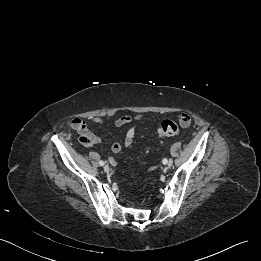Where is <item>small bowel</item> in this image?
I'll use <instances>...</instances> for the list:
<instances>
[{
	"instance_id": "1",
	"label": "small bowel",
	"mask_w": 261,
	"mask_h": 261,
	"mask_svg": "<svg viewBox=\"0 0 261 261\" xmlns=\"http://www.w3.org/2000/svg\"><path fill=\"white\" fill-rule=\"evenodd\" d=\"M178 117H185L189 120L188 124H181L182 127H188L190 125L191 117L188 113L183 112L179 114ZM143 119L144 116L141 114H137L133 117L129 115H122L119 116L114 123L117 127H121L125 125H130L132 123L141 122ZM90 121L99 125L104 123V120L101 117H92L90 118ZM70 125L79 134L80 136L79 141L82 145L100 146L102 144V140L88 129L85 120L81 118H73L70 121ZM135 133H136V126L132 125L126 132L123 141L124 147H129L132 144ZM121 149H122V145L120 143L115 142L111 145V150L114 153H118Z\"/></svg>"
}]
</instances>
